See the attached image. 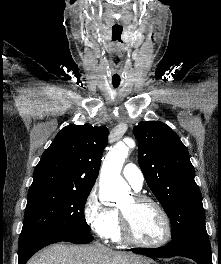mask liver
Returning <instances> with one entry per match:
<instances>
[{"instance_id":"1","label":"liver","mask_w":221,"mask_h":264,"mask_svg":"<svg viewBox=\"0 0 221 264\" xmlns=\"http://www.w3.org/2000/svg\"><path fill=\"white\" fill-rule=\"evenodd\" d=\"M133 253L114 251L101 244L87 246L55 244L34 255L27 264H150Z\"/></svg>"}]
</instances>
